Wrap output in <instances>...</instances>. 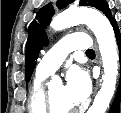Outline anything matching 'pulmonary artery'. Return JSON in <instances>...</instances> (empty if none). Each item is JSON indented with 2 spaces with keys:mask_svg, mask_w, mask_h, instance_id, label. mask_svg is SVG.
Wrapping results in <instances>:
<instances>
[{
  "mask_svg": "<svg viewBox=\"0 0 121 113\" xmlns=\"http://www.w3.org/2000/svg\"><path fill=\"white\" fill-rule=\"evenodd\" d=\"M89 49H91V47L86 34H69L62 38L41 58L37 66V73L51 75L63 64L70 52L77 50L87 51Z\"/></svg>",
  "mask_w": 121,
  "mask_h": 113,
  "instance_id": "pulmonary-artery-1",
  "label": "pulmonary artery"
}]
</instances>
